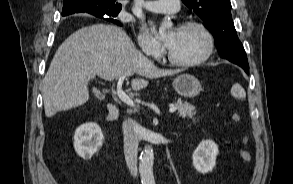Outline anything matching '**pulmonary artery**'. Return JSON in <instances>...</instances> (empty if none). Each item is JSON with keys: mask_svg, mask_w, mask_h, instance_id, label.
Wrapping results in <instances>:
<instances>
[{"mask_svg": "<svg viewBox=\"0 0 293 184\" xmlns=\"http://www.w3.org/2000/svg\"><path fill=\"white\" fill-rule=\"evenodd\" d=\"M144 8L156 13H175L180 8V0H150L145 2Z\"/></svg>", "mask_w": 293, "mask_h": 184, "instance_id": "obj_1", "label": "pulmonary artery"}]
</instances>
